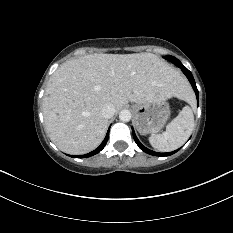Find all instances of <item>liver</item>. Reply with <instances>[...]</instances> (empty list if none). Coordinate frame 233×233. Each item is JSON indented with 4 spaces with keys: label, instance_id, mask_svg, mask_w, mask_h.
<instances>
[{
    "label": "liver",
    "instance_id": "6515ba94",
    "mask_svg": "<svg viewBox=\"0 0 233 233\" xmlns=\"http://www.w3.org/2000/svg\"><path fill=\"white\" fill-rule=\"evenodd\" d=\"M188 93L180 72L155 54L85 55L64 62L50 78L43 99L45 128L61 151L85 154L104 139V105L118 111L129 101L142 104Z\"/></svg>",
    "mask_w": 233,
    "mask_h": 233
}]
</instances>
